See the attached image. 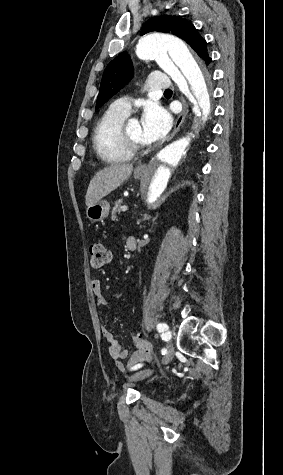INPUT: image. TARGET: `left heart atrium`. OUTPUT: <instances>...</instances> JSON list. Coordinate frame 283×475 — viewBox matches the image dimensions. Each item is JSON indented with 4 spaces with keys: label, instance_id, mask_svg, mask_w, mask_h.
<instances>
[{
    "label": "left heart atrium",
    "instance_id": "39dd6f15",
    "mask_svg": "<svg viewBox=\"0 0 283 475\" xmlns=\"http://www.w3.org/2000/svg\"><path fill=\"white\" fill-rule=\"evenodd\" d=\"M143 137L148 142L163 139L172 126V118L166 109L157 103L148 104L142 113Z\"/></svg>",
    "mask_w": 283,
    "mask_h": 475
}]
</instances>
